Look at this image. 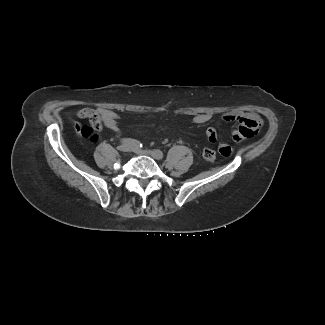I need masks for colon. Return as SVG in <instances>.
I'll list each match as a JSON object with an SVG mask.
<instances>
[{
	"label": "colon",
	"instance_id": "5ec220e1",
	"mask_svg": "<svg viewBox=\"0 0 325 325\" xmlns=\"http://www.w3.org/2000/svg\"><path fill=\"white\" fill-rule=\"evenodd\" d=\"M81 133L84 137H88L92 140L97 139V135L90 125H85L81 129ZM203 157L210 162H214L217 158L216 152L210 148H204L202 151Z\"/></svg>",
	"mask_w": 325,
	"mask_h": 325
}]
</instances>
